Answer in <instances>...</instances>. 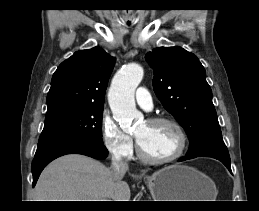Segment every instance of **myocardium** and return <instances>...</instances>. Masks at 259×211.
Masks as SVG:
<instances>
[{
	"instance_id": "f54148a6",
	"label": "myocardium",
	"mask_w": 259,
	"mask_h": 211,
	"mask_svg": "<svg viewBox=\"0 0 259 211\" xmlns=\"http://www.w3.org/2000/svg\"><path fill=\"white\" fill-rule=\"evenodd\" d=\"M148 123L150 124H155V125H160V124H168L172 126L177 134L178 138V146L175 152L169 156L166 157H161V158H154L150 157L141 148L139 141H136V151L138 157L145 163L148 164H166V163H171L178 159L184 152L186 145H187V136L186 133L181 126V124L175 120L174 118L167 117V116H159V117H152L147 120Z\"/></svg>"
}]
</instances>
